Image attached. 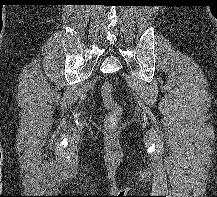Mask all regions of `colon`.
<instances>
[{"label":"colon","instance_id":"obj_1","mask_svg":"<svg viewBox=\"0 0 217 197\" xmlns=\"http://www.w3.org/2000/svg\"><path fill=\"white\" fill-rule=\"evenodd\" d=\"M101 95L104 106L111 111L106 119V127L113 129L117 125L121 108L113 97V86L110 82L103 83L101 86Z\"/></svg>","mask_w":217,"mask_h":197}]
</instances>
